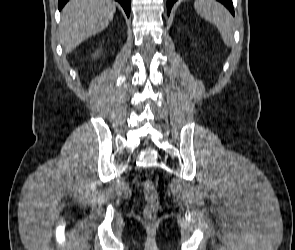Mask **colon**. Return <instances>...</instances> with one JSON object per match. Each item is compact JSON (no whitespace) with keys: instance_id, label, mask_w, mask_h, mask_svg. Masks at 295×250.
Returning a JSON list of instances; mask_svg holds the SVG:
<instances>
[{"instance_id":"5ec220e1","label":"colon","mask_w":295,"mask_h":250,"mask_svg":"<svg viewBox=\"0 0 295 250\" xmlns=\"http://www.w3.org/2000/svg\"><path fill=\"white\" fill-rule=\"evenodd\" d=\"M144 196L146 199L144 216L145 218L152 220L156 217L159 210V195L156 186L152 180L145 181Z\"/></svg>"}]
</instances>
